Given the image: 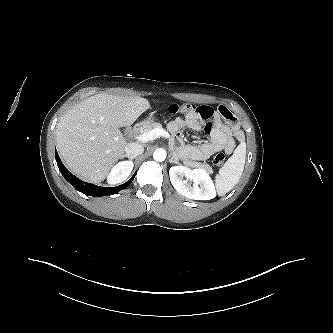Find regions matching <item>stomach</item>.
Listing matches in <instances>:
<instances>
[{
	"label": "stomach",
	"instance_id": "stomach-1",
	"mask_svg": "<svg viewBox=\"0 0 333 333\" xmlns=\"http://www.w3.org/2000/svg\"><path fill=\"white\" fill-rule=\"evenodd\" d=\"M152 120H154V117H153V115H150L146 121L151 122Z\"/></svg>",
	"mask_w": 333,
	"mask_h": 333
}]
</instances>
